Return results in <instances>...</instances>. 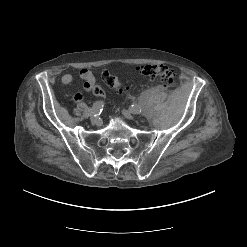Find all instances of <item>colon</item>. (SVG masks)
<instances>
[{
    "instance_id": "1",
    "label": "colon",
    "mask_w": 247,
    "mask_h": 247,
    "mask_svg": "<svg viewBox=\"0 0 247 247\" xmlns=\"http://www.w3.org/2000/svg\"><path fill=\"white\" fill-rule=\"evenodd\" d=\"M137 71L163 87H170L175 82V72L165 65H141L137 68ZM102 77L106 84L117 92L122 93L128 89L118 77L109 74L107 71H103ZM93 93L97 96L105 94L100 86H96Z\"/></svg>"
}]
</instances>
